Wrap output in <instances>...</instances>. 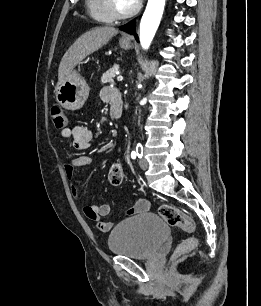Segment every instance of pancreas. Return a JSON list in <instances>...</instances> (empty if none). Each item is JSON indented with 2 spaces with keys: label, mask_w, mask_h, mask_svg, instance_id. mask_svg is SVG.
Wrapping results in <instances>:
<instances>
[{
  "label": "pancreas",
  "mask_w": 261,
  "mask_h": 306,
  "mask_svg": "<svg viewBox=\"0 0 261 306\" xmlns=\"http://www.w3.org/2000/svg\"><path fill=\"white\" fill-rule=\"evenodd\" d=\"M119 66L117 64L113 65L109 70H107L101 77V82L103 84L110 83L113 84V78L115 77L116 71H118Z\"/></svg>",
  "instance_id": "obj_1"
}]
</instances>
